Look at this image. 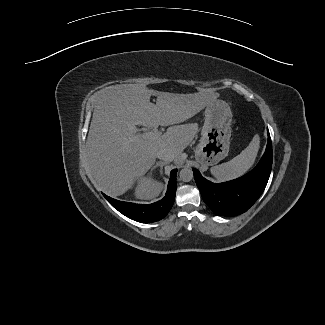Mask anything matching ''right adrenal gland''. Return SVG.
<instances>
[{
    "mask_svg": "<svg viewBox=\"0 0 325 325\" xmlns=\"http://www.w3.org/2000/svg\"><path fill=\"white\" fill-rule=\"evenodd\" d=\"M167 164V162H162V161H159L157 162L151 169V171H153L154 169H156L158 166L160 167V174L162 175L163 173V167Z\"/></svg>",
    "mask_w": 325,
    "mask_h": 325,
    "instance_id": "2a0ac1e0",
    "label": "right adrenal gland"
}]
</instances>
